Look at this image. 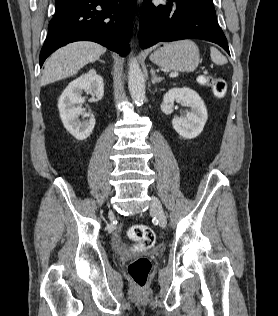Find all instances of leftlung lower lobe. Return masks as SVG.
Returning a JSON list of instances; mask_svg holds the SVG:
<instances>
[{"mask_svg": "<svg viewBox=\"0 0 278 316\" xmlns=\"http://www.w3.org/2000/svg\"><path fill=\"white\" fill-rule=\"evenodd\" d=\"M139 38L143 49L158 42L200 39L216 43L230 54L216 14L186 0H167L166 5L158 7L151 0H144Z\"/></svg>", "mask_w": 278, "mask_h": 316, "instance_id": "0a47b994", "label": "left lung lower lobe"}]
</instances>
